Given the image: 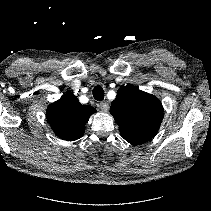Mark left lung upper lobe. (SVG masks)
Here are the masks:
<instances>
[{"label": "left lung upper lobe", "instance_id": "1", "mask_svg": "<svg viewBox=\"0 0 211 211\" xmlns=\"http://www.w3.org/2000/svg\"><path fill=\"white\" fill-rule=\"evenodd\" d=\"M110 113L119 125L121 136L133 145L143 144L153 138L163 119V107L159 99L131 86L118 89Z\"/></svg>", "mask_w": 211, "mask_h": 211}]
</instances>
